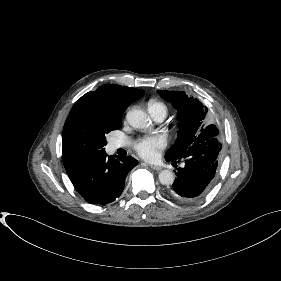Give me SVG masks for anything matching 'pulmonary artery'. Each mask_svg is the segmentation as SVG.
<instances>
[{
  "label": "pulmonary artery",
  "mask_w": 281,
  "mask_h": 281,
  "mask_svg": "<svg viewBox=\"0 0 281 281\" xmlns=\"http://www.w3.org/2000/svg\"><path fill=\"white\" fill-rule=\"evenodd\" d=\"M153 118L157 121V122H162L165 118V115L163 114H158V115H155L153 116ZM126 145L125 141H122V140H115L113 142V147L115 149L117 148H121V147H124Z\"/></svg>",
  "instance_id": "e3ab8cb5"
}]
</instances>
